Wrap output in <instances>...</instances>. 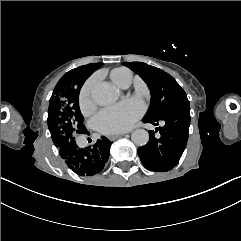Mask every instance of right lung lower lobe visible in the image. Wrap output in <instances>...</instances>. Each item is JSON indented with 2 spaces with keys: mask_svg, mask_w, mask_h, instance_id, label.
Wrapping results in <instances>:
<instances>
[{
  "mask_svg": "<svg viewBox=\"0 0 241 241\" xmlns=\"http://www.w3.org/2000/svg\"><path fill=\"white\" fill-rule=\"evenodd\" d=\"M112 142L105 136L86 148H79L76 143L59 148V154L67 166L80 176H92L101 172L109 158Z\"/></svg>",
  "mask_w": 241,
  "mask_h": 241,
  "instance_id": "obj_1",
  "label": "right lung lower lobe"
}]
</instances>
